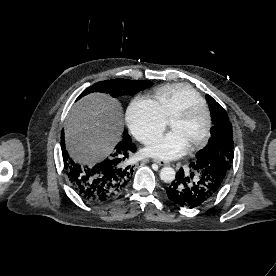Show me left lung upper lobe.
<instances>
[{"label": "left lung upper lobe", "instance_id": "1", "mask_svg": "<svg viewBox=\"0 0 276 276\" xmlns=\"http://www.w3.org/2000/svg\"><path fill=\"white\" fill-rule=\"evenodd\" d=\"M206 100L214 126L211 128V138L208 145L197 153L194 161L203 165L200 168L207 167L210 172L221 176L224 183L234 155L232 125L227 113L219 103L210 95H206Z\"/></svg>", "mask_w": 276, "mask_h": 276}]
</instances>
